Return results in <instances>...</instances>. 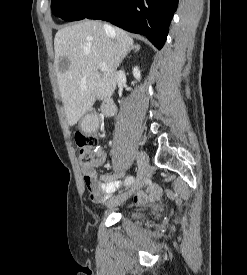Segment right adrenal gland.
I'll return each instance as SVG.
<instances>
[{
    "mask_svg": "<svg viewBox=\"0 0 247 275\" xmlns=\"http://www.w3.org/2000/svg\"><path fill=\"white\" fill-rule=\"evenodd\" d=\"M133 49H134V52L136 53L137 51H139L140 46H139V45H135ZM125 57H126V56H125Z\"/></svg>",
    "mask_w": 247,
    "mask_h": 275,
    "instance_id": "right-adrenal-gland-1",
    "label": "right adrenal gland"
}]
</instances>
